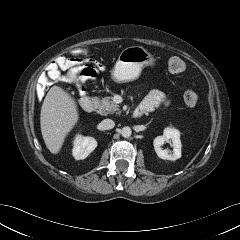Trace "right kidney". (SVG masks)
<instances>
[{"mask_svg": "<svg viewBox=\"0 0 240 240\" xmlns=\"http://www.w3.org/2000/svg\"><path fill=\"white\" fill-rule=\"evenodd\" d=\"M73 144L72 155L76 160L85 159L97 147V141L89 136L77 135Z\"/></svg>", "mask_w": 240, "mask_h": 240, "instance_id": "right-kidney-1", "label": "right kidney"}]
</instances>
